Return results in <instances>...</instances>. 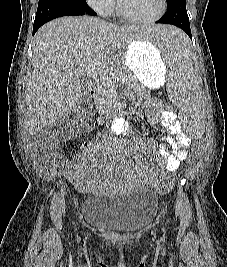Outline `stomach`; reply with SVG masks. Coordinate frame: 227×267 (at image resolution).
I'll list each match as a JSON object with an SVG mask.
<instances>
[{
  "instance_id": "stomach-1",
  "label": "stomach",
  "mask_w": 227,
  "mask_h": 267,
  "mask_svg": "<svg viewBox=\"0 0 227 267\" xmlns=\"http://www.w3.org/2000/svg\"><path fill=\"white\" fill-rule=\"evenodd\" d=\"M124 64L141 84L149 88H158L165 82L168 65L162 55H155L151 43L131 41L125 49Z\"/></svg>"
}]
</instances>
